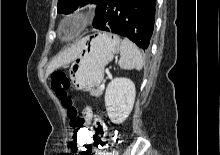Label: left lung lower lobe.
<instances>
[{"label": "left lung lower lobe", "instance_id": "1", "mask_svg": "<svg viewBox=\"0 0 220 155\" xmlns=\"http://www.w3.org/2000/svg\"><path fill=\"white\" fill-rule=\"evenodd\" d=\"M156 0H100L93 27L130 39L146 50L154 28Z\"/></svg>", "mask_w": 220, "mask_h": 155}]
</instances>
